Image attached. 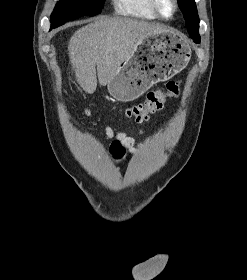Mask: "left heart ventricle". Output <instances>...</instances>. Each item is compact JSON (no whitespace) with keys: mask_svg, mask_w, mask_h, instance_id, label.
Listing matches in <instances>:
<instances>
[{"mask_svg":"<svg viewBox=\"0 0 247 280\" xmlns=\"http://www.w3.org/2000/svg\"><path fill=\"white\" fill-rule=\"evenodd\" d=\"M161 9L164 15L171 16L173 13V5L170 0H162Z\"/></svg>","mask_w":247,"mask_h":280,"instance_id":"b2bd125f","label":"left heart ventricle"}]
</instances>
